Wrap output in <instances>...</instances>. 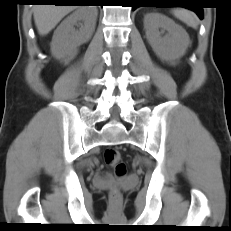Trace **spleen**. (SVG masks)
Listing matches in <instances>:
<instances>
[{
	"label": "spleen",
	"instance_id": "1",
	"mask_svg": "<svg viewBox=\"0 0 231 231\" xmlns=\"http://www.w3.org/2000/svg\"><path fill=\"white\" fill-rule=\"evenodd\" d=\"M173 14L176 18L184 22L190 27L196 28L198 25V19L195 14L186 9H175Z\"/></svg>",
	"mask_w": 231,
	"mask_h": 231
}]
</instances>
